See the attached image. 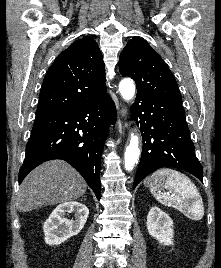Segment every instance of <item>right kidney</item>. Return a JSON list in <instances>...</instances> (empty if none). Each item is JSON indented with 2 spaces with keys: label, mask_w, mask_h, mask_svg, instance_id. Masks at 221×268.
Instances as JSON below:
<instances>
[{
  "label": "right kidney",
  "mask_w": 221,
  "mask_h": 268,
  "mask_svg": "<svg viewBox=\"0 0 221 268\" xmlns=\"http://www.w3.org/2000/svg\"><path fill=\"white\" fill-rule=\"evenodd\" d=\"M68 213H74L75 219H67L65 216ZM88 215L89 210L82 203L70 201L60 204L44 223L45 242L58 245L77 235L83 229Z\"/></svg>",
  "instance_id": "right-kidney-1"
}]
</instances>
